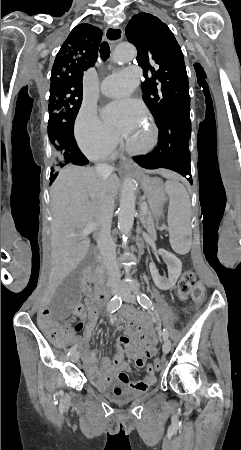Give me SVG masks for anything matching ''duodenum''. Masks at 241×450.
Returning a JSON list of instances; mask_svg holds the SVG:
<instances>
[{
  "mask_svg": "<svg viewBox=\"0 0 241 450\" xmlns=\"http://www.w3.org/2000/svg\"><path fill=\"white\" fill-rule=\"evenodd\" d=\"M101 262L99 260L95 263V268L99 269ZM84 281L89 289L92 290L97 301H104L108 296V290L98 280L96 274L86 270L83 275Z\"/></svg>",
  "mask_w": 241,
  "mask_h": 450,
  "instance_id": "obj_1",
  "label": "duodenum"
}]
</instances>
